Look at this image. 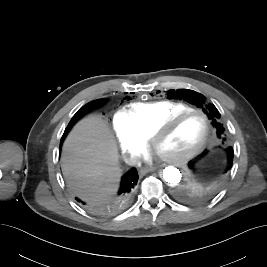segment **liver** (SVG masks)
I'll return each instance as SVG.
<instances>
[{"mask_svg": "<svg viewBox=\"0 0 267 267\" xmlns=\"http://www.w3.org/2000/svg\"><path fill=\"white\" fill-rule=\"evenodd\" d=\"M62 172L79 197L101 203L117 190L122 171L117 145L107 124L99 116L81 120L63 145Z\"/></svg>", "mask_w": 267, "mask_h": 267, "instance_id": "obj_1", "label": "liver"}]
</instances>
